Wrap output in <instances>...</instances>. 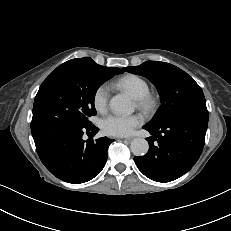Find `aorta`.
Returning <instances> with one entry per match:
<instances>
[{"label":"aorta","instance_id":"aorta-1","mask_svg":"<svg viewBox=\"0 0 231 231\" xmlns=\"http://www.w3.org/2000/svg\"><path fill=\"white\" fill-rule=\"evenodd\" d=\"M109 106L117 113L131 114L134 111L130 99L121 94L112 97ZM130 148L135 156H143L148 152L149 144L144 138H135L131 142Z\"/></svg>","mask_w":231,"mask_h":231}]
</instances>
